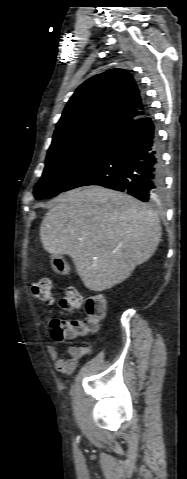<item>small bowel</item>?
Masks as SVG:
<instances>
[{
  "mask_svg": "<svg viewBox=\"0 0 187 479\" xmlns=\"http://www.w3.org/2000/svg\"><path fill=\"white\" fill-rule=\"evenodd\" d=\"M47 353L56 371L62 374H70L77 367L79 360L83 356H89L91 354V348L81 345H70L60 355L56 346L50 344L47 346Z\"/></svg>",
  "mask_w": 187,
  "mask_h": 479,
  "instance_id": "small-bowel-1",
  "label": "small bowel"
}]
</instances>
